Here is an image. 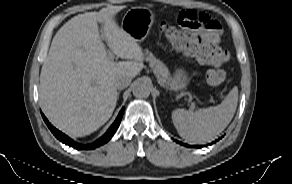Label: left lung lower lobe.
Returning <instances> with one entry per match:
<instances>
[{"instance_id":"left-lung-lower-lobe-1","label":"left lung lower lobe","mask_w":292,"mask_h":184,"mask_svg":"<svg viewBox=\"0 0 292 184\" xmlns=\"http://www.w3.org/2000/svg\"><path fill=\"white\" fill-rule=\"evenodd\" d=\"M178 143H180V142H178ZM182 145H186V144H182ZM187 147H196V146H190V145H187Z\"/></svg>"}]
</instances>
